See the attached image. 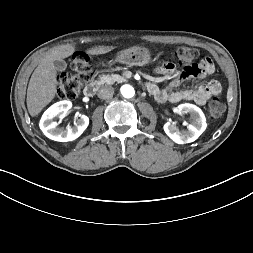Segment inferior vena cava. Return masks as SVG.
Instances as JSON below:
<instances>
[{"instance_id": "obj_1", "label": "inferior vena cava", "mask_w": 253, "mask_h": 253, "mask_svg": "<svg viewBox=\"0 0 253 253\" xmlns=\"http://www.w3.org/2000/svg\"><path fill=\"white\" fill-rule=\"evenodd\" d=\"M114 94V88L112 86H103L99 92H98V97L102 99H107L112 97Z\"/></svg>"}]
</instances>
